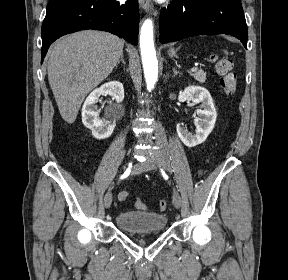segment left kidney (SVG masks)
<instances>
[{"label":"left kidney","instance_id":"1","mask_svg":"<svg viewBox=\"0 0 288 280\" xmlns=\"http://www.w3.org/2000/svg\"><path fill=\"white\" fill-rule=\"evenodd\" d=\"M191 100L193 103H200L197 114L200 118L195 119L196 130L193 133L188 132L183 124L177 125V134L180 140L188 147H194L203 143L214 128L217 113L213 99L207 89L201 86H189L178 95L179 102Z\"/></svg>","mask_w":288,"mask_h":280}]
</instances>
